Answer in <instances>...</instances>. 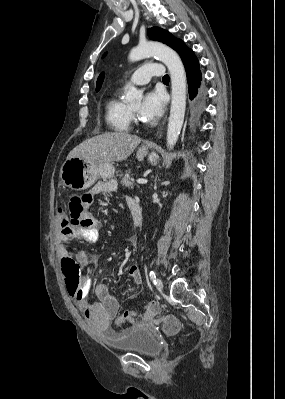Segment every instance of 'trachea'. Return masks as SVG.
<instances>
[{
	"mask_svg": "<svg viewBox=\"0 0 285 399\" xmlns=\"http://www.w3.org/2000/svg\"><path fill=\"white\" fill-rule=\"evenodd\" d=\"M162 80H163V81H169V76H168V75H165V76L162 78Z\"/></svg>",
	"mask_w": 285,
	"mask_h": 399,
	"instance_id": "trachea-1",
	"label": "trachea"
}]
</instances>
